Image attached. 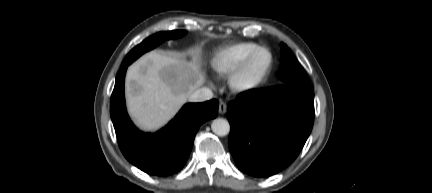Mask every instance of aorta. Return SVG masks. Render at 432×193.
<instances>
[{"label": "aorta", "instance_id": "1", "mask_svg": "<svg viewBox=\"0 0 432 193\" xmlns=\"http://www.w3.org/2000/svg\"><path fill=\"white\" fill-rule=\"evenodd\" d=\"M211 129L218 136H226L230 131V125L226 119L216 118L212 121Z\"/></svg>", "mask_w": 432, "mask_h": 193}]
</instances>
